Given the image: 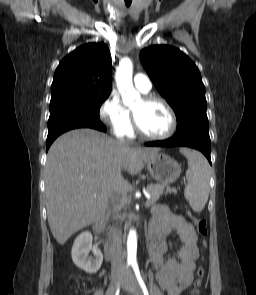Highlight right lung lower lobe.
<instances>
[{
  "label": "right lung lower lobe",
  "instance_id": "obj_1",
  "mask_svg": "<svg viewBox=\"0 0 256 295\" xmlns=\"http://www.w3.org/2000/svg\"><path fill=\"white\" fill-rule=\"evenodd\" d=\"M76 128H93L106 132V127L99 118L76 119V120H58L48 124V136L46 141V151L52 142L62 133Z\"/></svg>",
  "mask_w": 256,
  "mask_h": 295
}]
</instances>
